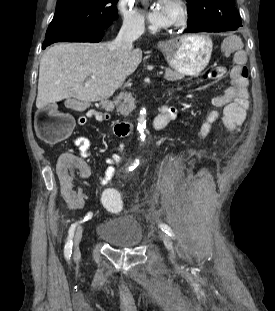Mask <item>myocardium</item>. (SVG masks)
<instances>
[{
    "instance_id": "1",
    "label": "myocardium",
    "mask_w": 275,
    "mask_h": 311,
    "mask_svg": "<svg viewBox=\"0 0 275 311\" xmlns=\"http://www.w3.org/2000/svg\"><path fill=\"white\" fill-rule=\"evenodd\" d=\"M172 2L177 7L178 17L173 23L169 24L168 27L172 29H178V28L184 27L188 22V17H189L188 7L186 3L184 2V0H173Z\"/></svg>"
}]
</instances>
